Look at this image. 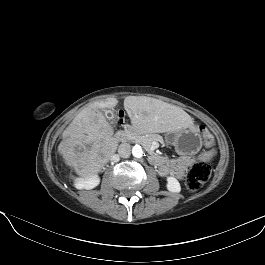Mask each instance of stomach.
Listing matches in <instances>:
<instances>
[{
	"mask_svg": "<svg viewBox=\"0 0 265 265\" xmlns=\"http://www.w3.org/2000/svg\"><path fill=\"white\" fill-rule=\"evenodd\" d=\"M165 139L181 155H195L202 146L200 135L193 129L166 132Z\"/></svg>",
	"mask_w": 265,
	"mask_h": 265,
	"instance_id": "0dacf381",
	"label": "stomach"
}]
</instances>
